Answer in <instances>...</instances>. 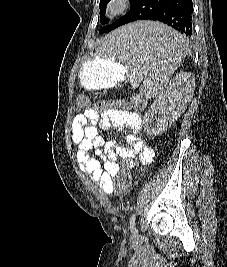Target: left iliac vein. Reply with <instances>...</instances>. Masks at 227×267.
I'll return each mask as SVG.
<instances>
[{
    "mask_svg": "<svg viewBox=\"0 0 227 267\" xmlns=\"http://www.w3.org/2000/svg\"><path fill=\"white\" fill-rule=\"evenodd\" d=\"M132 235H133L134 237L138 235V231H137L136 227L133 228V230H132Z\"/></svg>",
    "mask_w": 227,
    "mask_h": 267,
    "instance_id": "1",
    "label": "left iliac vein"
}]
</instances>
